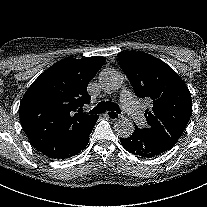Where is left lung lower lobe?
I'll return each mask as SVG.
<instances>
[{
	"mask_svg": "<svg viewBox=\"0 0 207 207\" xmlns=\"http://www.w3.org/2000/svg\"><path fill=\"white\" fill-rule=\"evenodd\" d=\"M120 142L127 151L142 157H154L169 150L153 136L137 127L130 137L121 138Z\"/></svg>",
	"mask_w": 207,
	"mask_h": 207,
	"instance_id": "left-lung-lower-lobe-1",
	"label": "left lung lower lobe"
}]
</instances>
